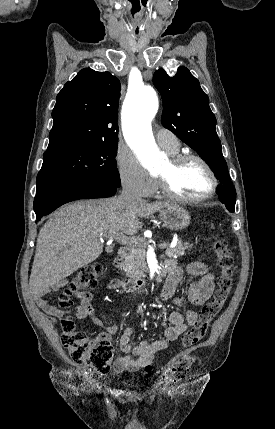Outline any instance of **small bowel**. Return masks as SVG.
I'll return each mask as SVG.
<instances>
[{
	"label": "small bowel",
	"instance_id": "c3829d8e",
	"mask_svg": "<svg viewBox=\"0 0 275 429\" xmlns=\"http://www.w3.org/2000/svg\"><path fill=\"white\" fill-rule=\"evenodd\" d=\"M168 267V278L162 288L161 298L164 301L173 300L177 305H182L178 298H174L175 291L181 281L183 271L179 268L174 260H168L165 264ZM189 274L196 279L193 280L188 288L187 302L192 307H201L207 303L214 290V275L202 260L190 263L187 267ZM119 282L113 280L109 283V289H115ZM61 287L60 283L53 284L49 287L37 289L34 292L36 304L48 314L61 318L68 311L57 308L52 302L45 298V295L57 292ZM76 297L79 304L74 308L76 318L85 320L90 318L96 325L106 329L107 335L115 334L118 326L115 324H104L94 312L91 304L92 295L90 292L81 291ZM198 319V314L193 309H188L184 314L179 311H173L169 315L170 325L164 330V336L153 342L146 340L136 344L131 342L132 328L127 327L119 339V350L122 353L114 362L116 372H135L141 368H150L154 356L157 352L166 349L170 343L177 340L189 327L193 326Z\"/></svg>",
	"mask_w": 275,
	"mask_h": 429
}]
</instances>
